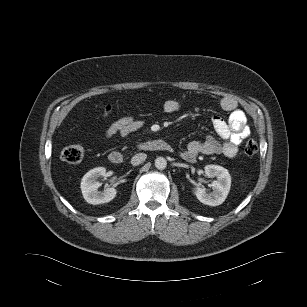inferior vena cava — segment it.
I'll return each instance as SVG.
<instances>
[{"label":"inferior vena cava","mask_w":307,"mask_h":307,"mask_svg":"<svg viewBox=\"0 0 307 307\" xmlns=\"http://www.w3.org/2000/svg\"><path fill=\"white\" fill-rule=\"evenodd\" d=\"M146 158H147V155L145 153H138L132 157L131 164L133 166H137L141 164L143 161H145Z\"/></svg>","instance_id":"inferior-vena-cava-1"}]
</instances>
